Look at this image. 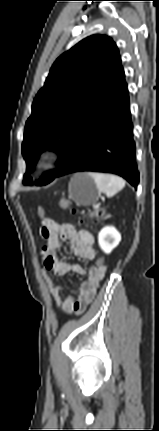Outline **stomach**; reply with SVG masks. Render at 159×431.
Instances as JSON below:
<instances>
[{"label":"stomach","instance_id":"stomach-1","mask_svg":"<svg viewBox=\"0 0 159 431\" xmlns=\"http://www.w3.org/2000/svg\"><path fill=\"white\" fill-rule=\"evenodd\" d=\"M72 199L81 206H89L97 202L99 190L89 173L74 175L70 183Z\"/></svg>","mask_w":159,"mask_h":431}]
</instances>
